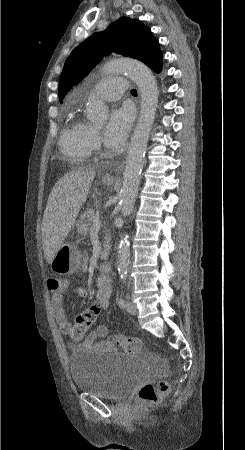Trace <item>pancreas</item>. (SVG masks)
<instances>
[{"label": "pancreas", "instance_id": "1", "mask_svg": "<svg viewBox=\"0 0 245 450\" xmlns=\"http://www.w3.org/2000/svg\"><path fill=\"white\" fill-rule=\"evenodd\" d=\"M95 217V212L93 209H87L81 216H80V220L77 224V229L78 232L81 233L82 235H87L89 230L91 229V226L93 224V219ZM104 250L101 254V258L102 259H107L108 255H109V249H110V245H109V235L106 234L105 236V242H104Z\"/></svg>", "mask_w": 245, "mask_h": 450}]
</instances>
